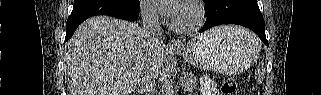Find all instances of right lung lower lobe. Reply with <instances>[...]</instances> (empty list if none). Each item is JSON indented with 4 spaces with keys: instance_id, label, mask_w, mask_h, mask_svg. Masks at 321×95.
Returning <instances> with one entry per match:
<instances>
[{
    "instance_id": "right-lung-lower-lobe-1",
    "label": "right lung lower lobe",
    "mask_w": 321,
    "mask_h": 95,
    "mask_svg": "<svg viewBox=\"0 0 321 95\" xmlns=\"http://www.w3.org/2000/svg\"><path fill=\"white\" fill-rule=\"evenodd\" d=\"M96 15H108L119 19L133 21L138 18L139 11L134 13H129V14L110 13V12H84V13H78V14H71L66 23L65 41H67L73 35V33L75 32L79 24H81L87 18L91 16H96Z\"/></svg>"
}]
</instances>
